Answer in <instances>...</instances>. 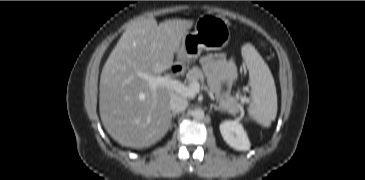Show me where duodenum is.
I'll return each instance as SVG.
<instances>
[{"instance_id": "410a0bca", "label": "duodenum", "mask_w": 365, "mask_h": 180, "mask_svg": "<svg viewBox=\"0 0 365 180\" xmlns=\"http://www.w3.org/2000/svg\"><path fill=\"white\" fill-rule=\"evenodd\" d=\"M171 71H172V72H173L176 76H179V77L183 76V75H184V72H185L184 68H183V67H181V66H173V67L171 68Z\"/></svg>"}]
</instances>
